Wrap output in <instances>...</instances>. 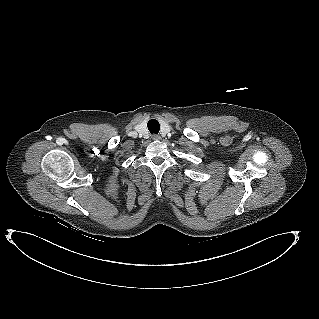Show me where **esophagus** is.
I'll return each mask as SVG.
<instances>
[{"instance_id": "1", "label": "esophagus", "mask_w": 319, "mask_h": 319, "mask_svg": "<svg viewBox=\"0 0 319 319\" xmlns=\"http://www.w3.org/2000/svg\"><path fill=\"white\" fill-rule=\"evenodd\" d=\"M151 138H152V140H154V141L160 140V136L157 135V134H153V135L151 136Z\"/></svg>"}]
</instances>
